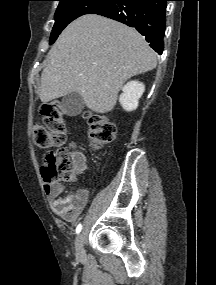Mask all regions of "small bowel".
<instances>
[{"mask_svg":"<svg viewBox=\"0 0 216 285\" xmlns=\"http://www.w3.org/2000/svg\"><path fill=\"white\" fill-rule=\"evenodd\" d=\"M74 172L77 175L82 174L86 169V158L82 153L73 154ZM44 189L48 197L51 199L53 212L68 222H74L83 212L88 192L86 190H78L74 194L62 197V184L58 182L45 183Z\"/></svg>","mask_w":216,"mask_h":285,"instance_id":"small-bowel-1","label":"small bowel"}]
</instances>
